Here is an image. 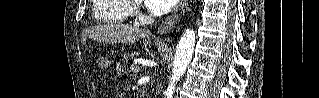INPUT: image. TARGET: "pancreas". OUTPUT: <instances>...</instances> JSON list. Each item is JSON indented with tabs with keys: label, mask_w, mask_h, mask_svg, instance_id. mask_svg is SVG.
Segmentation results:
<instances>
[{
	"label": "pancreas",
	"mask_w": 319,
	"mask_h": 98,
	"mask_svg": "<svg viewBox=\"0 0 319 98\" xmlns=\"http://www.w3.org/2000/svg\"><path fill=\"white\" fill-rule=\"evenodd\" d=\"M138 56H139L138 52L125 53L123 55V61L127 63L129 60H131L135 57H138Z\"/></svg>",
	"instance_id": "cf45deb5"
}]
</instances>
